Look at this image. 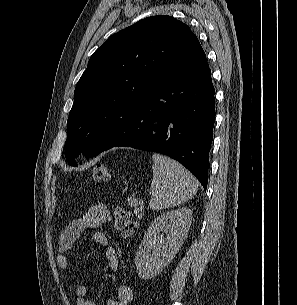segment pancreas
I'll return each instance as SVG.
<instances>
[{"instance_id": "obj_1", "label": "pancreas", "mask_w": 297, "mask_h": 305, "mask_svg": "<svg viewBox=\"0 0 297 305\" xmlns=\"http://www.w3.org/2000/svg\"><path fill=\"white\" fill-rule=\"evenodd\" d=\"M142 204V202H139L136 199H133L130 201V205L134 208V213L138 216H140V212L142 211L143 207L140 206Z\"/></svg>"}]
</instances>
